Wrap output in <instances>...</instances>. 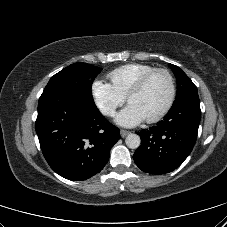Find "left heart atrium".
<instances>
[{"instance_id":"39dd6f15","label":"left heart atrium","mask_w":227,"mask_h":227,"mask_svg":"<svg viewBox=\"0 0 227 227\" xmlns=\"http://www.w3.org/2000/svg\"><path fill=\"white\" fill-rule=\"evenodd\" d=\"M144 120L145 118L143 117V115L132 104H129L122 111H120L116 116V122L126 127L135 126Z\"/></svg>"}]
</instances>
